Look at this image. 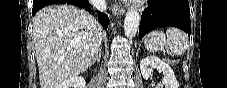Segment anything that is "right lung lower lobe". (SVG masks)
<instances>
[{"label":"right lung lower lobe","mask_w":227,"mask_h":88,"mask_svg":"<svg viewBox=\"0 0 227 88\" xmlns=\"http://www.w3.org/2000/svg\"><path fill=\"white\" fill-rule=\"evenodd\" d=\"M54 3H68L82 8L89 7L87 0H34L32 15L34 16L35 13L39 11L41 8H43L44 6L54 4ZM98 14H99V20L101 22V25L106 30L109 24V18L106 14L100 13L99 11H98Z\"/></svg>","instance_id":"1"}]
</instances>
